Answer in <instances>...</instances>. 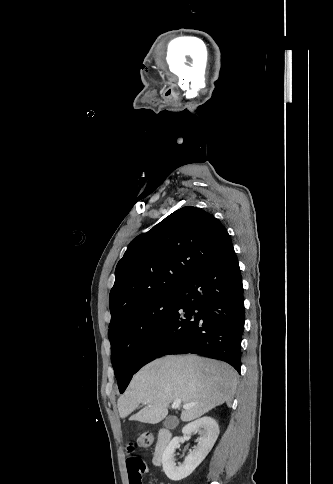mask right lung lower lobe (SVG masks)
<instances>
[{
	"label": "right lung lower lobe",
	"instance_id": "obj_1",
	"mask_svg": "<svg viewBox=\"0 0 333 484\" xmlns=\"http://www.w3.org/2000/svg\"><path fill=\"white\" fill-rule=\"evenodd\" d=\"M243 285L231 245L179 291L178 303L147 342L134 370L167 354H199L241 368Z\"/></svg>",
	"mask_w": 333,
	"mask_h": 484
}]
</instances>
